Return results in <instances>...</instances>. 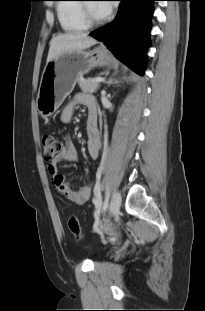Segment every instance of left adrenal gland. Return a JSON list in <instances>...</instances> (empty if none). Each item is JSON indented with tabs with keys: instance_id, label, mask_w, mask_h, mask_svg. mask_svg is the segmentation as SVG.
I'll return each mask as SVG.
<instances>
[{
	"instance_id": "1",
	"label": "left adrenal gland",
	"mask_w": 205,
	"mask_h": 311,
	"mask_svg": "<svg viewBox=\"0 0 205 311\" xmlns=\"http://www.w3.org/2000/svg\"><path fill=\"white\" fill-rule=\"evenodd\" d=\"M106 83H107V87H109L111 84H113V79L110 78Z\"/></svg>"
}]
</instances>
